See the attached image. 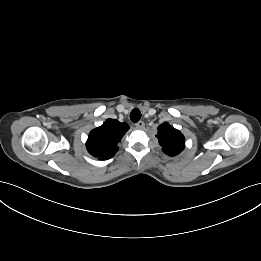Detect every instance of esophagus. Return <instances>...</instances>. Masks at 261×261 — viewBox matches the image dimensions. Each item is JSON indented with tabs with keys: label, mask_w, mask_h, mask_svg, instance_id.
Returning <instances> with one entry per match:
<instances>
[{
	"label": "esophagus",
	"mask_w": 261,
	"mask_h": 261,
	"mask_svg": "<svg viewBox=\"0 0 261 261\" xmlns=\"http://www.w3.org/2000/svg\"><path fill=\"white\" fill-rule=\"evenodd\" d=\"M144 122L143 121H139V122H137L136 124H135V126H136V128L137 129H142V128H144Z\"/></svg>",
	"instance_id": "obj_1"
}]
</instances>
